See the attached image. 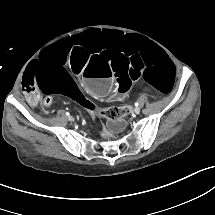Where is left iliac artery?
I'll return each instance as SVG.
<instances>
[{
  "label": "left iliac artery",
  "mask_w": 215,
  "mask_h": 215,
  "mask_svg": "<svg viewBox=\"0 0 215 215\" xmlns=\"http://www.w3.org/2000/svg\"><path fill=\"white\" fill-rule=\"evenodd\" d=\"M135 106H136V107H138V106H139V103H138V102H136V103H135Z\"/></svg>",
  "instance_id": "44dca946"
}]
</instances>
